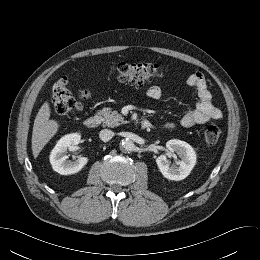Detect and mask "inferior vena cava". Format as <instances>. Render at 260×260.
Here are the masks:
<instances>
[{"label":"inferior vena cava","instance_id":"inferior-vena-cava-1","mask_svg":"<svg viewBox=\"0 0 260 260\" xmlns=\"http://www.w3.org/2000/svg\"><path fill=\"white\" fill-rule=\"evenodd\" d=\"M113 136L114 132L108 129H103L99 133L100 139L104 142L109 141L110 139H112Z\"/></svg>","mask_w":260,"mask_h":260}]
</instances>
